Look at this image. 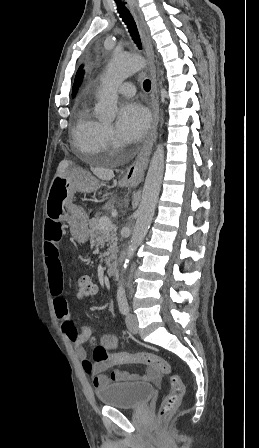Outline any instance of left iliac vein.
<instances>
[{"mask_svg": "<svg viewBox=\"0 0 259 448\" xmlns=\"http://www.w3.org/2000/svg\"><path fill=\"white\" fill-rule=\"evenodd\" d=\"M126 326L128 330L133 333L137 334L138 332V320L137 316L133 313H127L126 315Z\"/></svg>", "mask_w": 259, "mask_h": 448, "instance_id": "obj_1", "label": "left iliac vein"}]
</instances>
